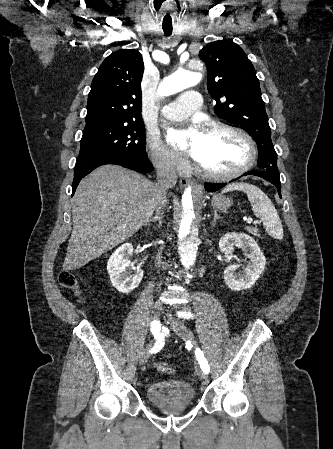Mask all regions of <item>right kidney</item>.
Wrapping results in <instances>:
<instances>
[{
  "label": "right kidney",
  "mask_w": 333,
  "mask_h": 449,
  "mask_svg": "<svg viewBox=\"0 0 333 449\" xmlns=\"http://www.w3.org/2000/svg\"><path fill=\"white\" fill-rule=\"evenodd\" d=\"M132 253V244H124L114 251L107 263L111 283L121 293L131 292L143 277V270L139 267L133 273L128 270Z\"/></svg>",
  "instance_id": "right-kidney-1"
}]
</instances>
